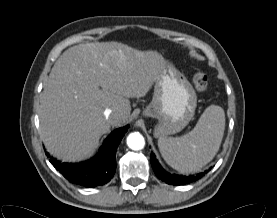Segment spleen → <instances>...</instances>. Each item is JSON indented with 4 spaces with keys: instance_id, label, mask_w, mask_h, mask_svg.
<instances>
[{
    "instance_id": "3e777b00",
    "label": "spleen",
    "mask_w": 277,
    "mask_h": 218,
    "mask_svg": "<svg viewBox=\"0 0 277 218\" xmlns=\"http://www.w3.org/2000/svg\"><path fill=\"white\" fill-rule=\"evenodd\" d=\"M224 130L223 108L210 105L193 130L178 138L160 137L158 147L163 159L175 170L182 173L199 171L217 154Z\"/></svg>"
}]
</instances>
